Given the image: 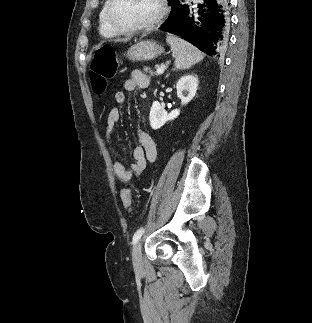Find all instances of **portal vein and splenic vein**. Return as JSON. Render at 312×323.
<instances>
[{
	"label": "portal vein and splenic vein",
	"instance_id": "18ae733b",
	"mask_svg": "<svg viewBox=\"0 0 312 323\" xmlns=\"http://www.w3.org/2000/svg\"><path fill=\"white\" fill-rule=\"evenodd\" d=\"M156 72H157V74H159V76H160V74H164V72H165V68H158V70H156Z\"/></svg>",
	"mask_w": 312,
	"mask_h": 323
}]
</instances>
